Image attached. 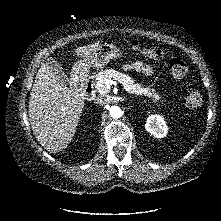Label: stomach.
<instances>
[{
    "mask_svg": "<svg viewBox=\"0 0 221 221\" xmlns=\"http://www.w3.org/2000/svg\"><path fill=\"white\" fill-rule=\"evenodd\" d=\"M122 51L113 44L104 43L89 58L77 61L73 65V72L77 74H85L91 67L103 68L111 59H121Z\"/></svg>",
    "mask_w": 221,
    "mask_h": 221,
    "instance_id": "stomach-1",
    "label": "stomach"
}]
</instances>
